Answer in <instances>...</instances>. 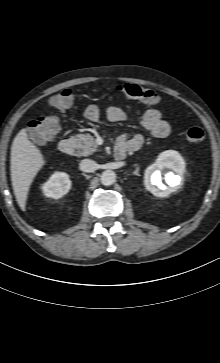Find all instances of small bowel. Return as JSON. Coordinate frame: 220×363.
<instances>
[{
  "instance_id": "1",
  "label": "small bowel",
  "mask_w": 220,
  "mask_h": 363,
  "mask_svg": "<svg viewBox=\"0 0 220 363\" xmlns=\"http://www.w3.org/2000/svg\"><path fill=\"white\" fill-rule=\"evenodd\" d=\"M101 110L99 106L92 104L89 105L84 116L91 121L99 120ZM106 117L112 122H121L127 119V114L119 107L111 106L106 109ZM141 126L148 131V133L155 138H164L170 133L169 123L162 117L161 112L158 109H148L140 119ZM144 144V138L141 135H135L132 137L126 134L121 135L118 138L117 146L124 147L130 151L139 150Z\"/></svg>"
}]
</instances>
